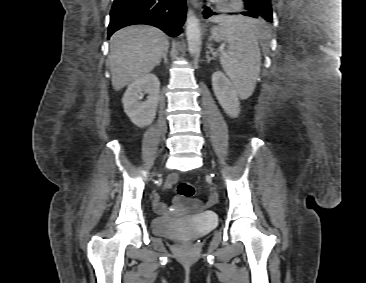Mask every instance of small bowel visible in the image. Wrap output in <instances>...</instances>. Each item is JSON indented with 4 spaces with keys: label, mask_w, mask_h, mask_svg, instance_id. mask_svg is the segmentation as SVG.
I'll return each instance as SVG.
<instances>
[{
    "label": "small bowel",
    "mask_w": 366,
    "mask_h": 283,
    "mask_svg": "<svg viewBox=\"0 0 366 283\" xmlns=\"http://www.w3.org/2000/svg\"><path fill=\"white\" fill-rule=\"evenodd\" d=\"M177 180H178V175L172 174L169 177V179L167 180L165 187L166 188L172 187L177 182ZM154 205H155L156 209L161 213H164L168 210L166 204L161 202L158 196H156L154 198Z\"/></svg>",
    "instance_id": "obj_1"
}]
</instances>
